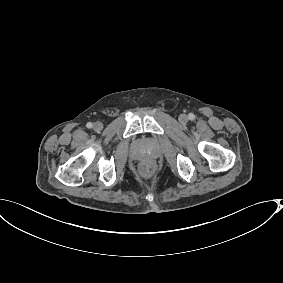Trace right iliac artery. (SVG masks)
Returning <instances> with one entry per match:
<instances>
[{"mask_svg": "<svg viewBox=\"0 0 283 283\" xmlns=\"http://www.w3.org/2000/svg\"><path fill=\"white\" fill-rule=\"evenodd\" d=\"M86 126H87V128H92L93 125H92L91 122H88Z\"/></svg>", "mask_w": 283, "mask_h": 283, "instance_id": "1", "label": "right iliac artery"}]
</instances>
